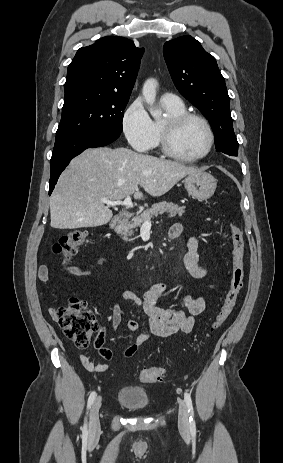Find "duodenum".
Here are the masks:
<instances>
[{
  "mask_svg": "<svg viewBox=\"0 0 283 463\" xmlns=\"http://www.w3.org/2000/svg\"><path fill=\"white\" fill-rule=\"evenodd\" d=\"M132 216L131 211L125 210L117 214L114 219L110 222V229L115 231L126 223Z\"/></svg>",
  "mask_w": 283,
  "mask_h": 463,
  "instance_id": "1",
  "label": "duodenum"
}]
</instances>
